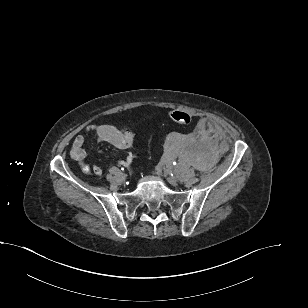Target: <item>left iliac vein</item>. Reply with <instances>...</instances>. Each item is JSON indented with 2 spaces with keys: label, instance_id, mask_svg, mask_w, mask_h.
I'll list each match as a JSON object with an SVG mask.
<instances>
[{
  "label": "left iliac vein",
  "instance_id": "1",
  "mask_svg": "<svg viewBox=\"0 0 308 308\" xmlns=\"http://www.w3.org/2000/svg\"><path fill=\"white\" fill-rule=\"evenodd\" d=\"M164 172H165L166 174H168V173L170 172V170H169V169H164ZM167 180H168V182H169L171 185H173V186H175V185L178 184V179H177L175 176H168V177H167Z\"/></svg>",
  "mask_w": 308,
  "mask_h": 308
}]
</instances>
